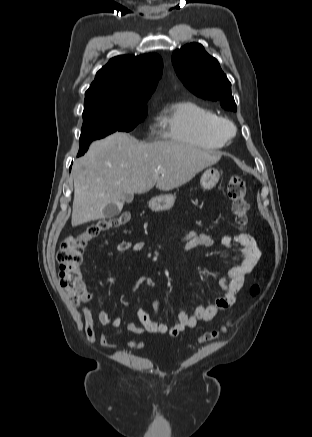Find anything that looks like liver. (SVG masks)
<instances>
[{"mask_svg":"<svg viewBox=\"0 0 312 437\" xmlns=\"http://www.w3.org/2000/svg\"><path fill=\"white\" fill-rule=\"evenodd\" d=\"M221 156L172 141L140 143L123 132L94 141L73 164L72 226L102 219L105 207L121 204L126 193L143 194L155 185L163 191L178 188Z\"/></svg>","mask_w":312,"mask_h":437,"instance_id":"1","label":"liver"}]
</instances>
